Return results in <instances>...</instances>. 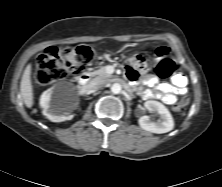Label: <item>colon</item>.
<instances>
[{
	"label": "colon",
	"mask_w": 222,
	"mask_h": 187,
	"mask_svg": "<svg viewBox=\"0 0 222 187\" xmlns=\"http://www.w3.org/2000/svg\"><path fill=\"white\" fill-rule=\"evenodd\" d=\"M92 59V52L86 47L46 49L38 58L36 83L47 86L69 75L82 73ZM154 72L160 78H168L177 70L176 62L166 47H159L154 53ZM189 104L187 96L181 97L173 106L174 111L183 113Z\"/></svg>",
	"instance_id": "colon-1"
}]
</instances>
